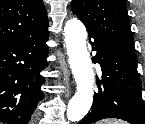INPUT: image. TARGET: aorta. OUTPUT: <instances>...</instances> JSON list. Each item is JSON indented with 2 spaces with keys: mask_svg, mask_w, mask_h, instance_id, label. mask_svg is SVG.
Listing matches in <instances>:
<instances>
[{
  "mask_svg": "<svg viewBox=\"0 0 145 124\" xmlns=\"http://www.w3.org/2000/svg\"><path fill=\"white\" fill-rule=\"evenodd\" d=\"M70 68L76 82V92L67 107V118L80 121L90 110L94 95V72L86 47L87 31L77 18L68 20L64 27Z\"/></svg>",
  "mask_w": 145,
  "mask_h": 124,
  "instance_id": "1",
  "label": "aorta"
}]
</instances>
